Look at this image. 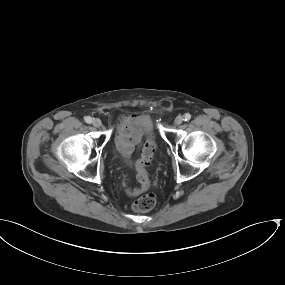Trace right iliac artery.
<instances>
[{
  "label": "right iliac artery",
  "mask_w": 285,
  "mask_h": 285,
  "mask_svg": "<svg viewBox=\"0 0 285 285\" xmlns=\"http://www.w3.org/2000/svg\"><path fill=\"white\" fill-rule=\"evenodd\" d=\"M85 122L90 124L92 122V118L90 116L85 117Z\"/></svg>",
  "instance_id": "1"
}]
</instances>
